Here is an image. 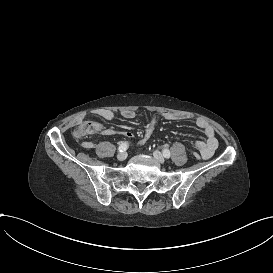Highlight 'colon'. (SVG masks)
Returning <instances> with one entry per match:
<instances>
[{
	"label": "colon",
	"instance_id": "colon-1",
	"mask_svg": "<svg viewBox=\"0 0 273 273\" xmlns=\"http://www.w3.org/2000/svg\"><path fill=\"white\" fill-rule=\"evenodd\" d=\"M150 120L153 124H156L160 121V118L156 114H151ZM153 131L154 128L148 126L145 130V137L141 141L136 142V147L143 148L147 146L153 138ZM100 133L101 125L96 123L92 118H77L71 123L70 136L83 143H90L92 141V135H99Z\"/></svg>",
	"mask_w": 273,
	"mask_h": 273
}]
</instances>
